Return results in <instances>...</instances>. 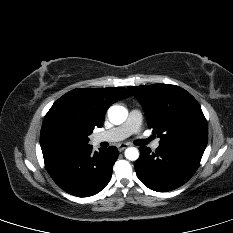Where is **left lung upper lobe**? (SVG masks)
Instances as JSON below:
<instances>
[{"instance_id": "left-lung-upper-lobe-1", "label": "left lung upper lobe", "mask_w": 233, "mask_h": 233, "mask_svg": "<svg viewBox=\"0 0 233 233\" xmlns=\"http://www.w3.org/2000/svg\"><path fill=\"white\" fill-rule=\"evenodd\" d=\"M128 88L144 108L148 126L160 138V145H207V121L199 103L186 90L170 84Z\"/></svg>"}]
</instances>
